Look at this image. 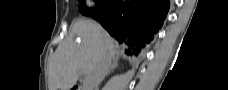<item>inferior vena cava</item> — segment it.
Segmentation results:
<instances>
[{
	"label": "inferior vena cava",
	"instance_id": "obj_1",
	"mask_svg": "<svg viewBox=\"0 0 228 90\" xmlns=\"http://www.w3.org/2000/svg\"><path fill=\"white\" fill-rule=\"evenodd\" d=\"M110 65L111 61L106 56L99 59L87 74L83 83V90H97L109 70Z\"/></svg>",
	"mask_w": 228,
	"mask_h": 90
}]
</instances>
